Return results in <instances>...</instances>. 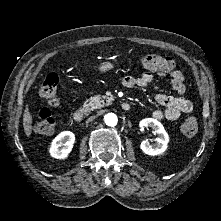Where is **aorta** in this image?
Instances as JSON below:
<instances>
[{"label":"aorta","mask_w":221,"mask_h":221,"mask_svg":"<svg viewBox=\"0 0 221 221\" xmlns=\"http://www.w3.org/2000/svg\"><path fill=\"white\" fill-rule=\"evenodd\" d=\"M104 122L107 126L114 127L117 125L118 118L114 113H108L104 116Z\"/></svg>","instance_id":"1"}]
</instances>
